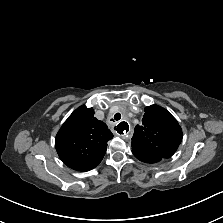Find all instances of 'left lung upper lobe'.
<instances>
[{"label":"left lung upper lobe","instance_id":"1","mask_svg":"<svg viewBox=\"0 0 223 223\" xmlns=\"http://www.w3.org/2000/svg\"><path fill=\"white\" fill-rule=\"evenodd\" d=\"M142 125H137L132 137V151L170 158L182 141L177 120L164 108L151 105L145 108Z\"/></svg>","mask_w":223,"mask_h":223}]
</instances>
